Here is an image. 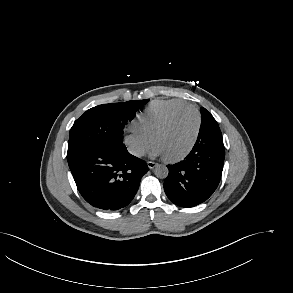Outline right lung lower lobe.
<instances>
[{"label":"right lung lower lobe","mask_w":293,"mask_h":293,"mask_svg":"<svg viewBox=\"0 0 293 293\" xmlns=\"http://www.w3.org/2000/svg\"><path fill=\"white\" fill-rule=\"evenodd\" d=\"M76 186L92 206L113 211L134 198L146 163L131 155L123 143H110L87 150L68 160Z\"/></svg>","instance_id":"1"}]
</instances>
